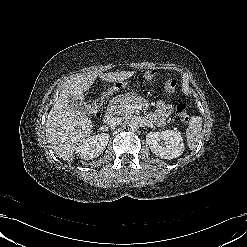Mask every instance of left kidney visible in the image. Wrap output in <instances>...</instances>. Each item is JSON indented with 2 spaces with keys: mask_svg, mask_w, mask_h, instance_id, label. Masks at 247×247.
<instances>
[{
  "mask_svg": "<svg viewBox=\"0 0 247 247\" xmlns=\"http://www.w3.org/2000/svg\"><path fill=\"white\" fill-rule=\"evenodd\" d=\"M146 143L156 156L164 159L177 158L184 151L181 133L176 130L168 129L162 132H149L146 135Z\"/></svg>",
  "mask_w": 247,
  "mask_h": 247,
  "instance_id": "left-kidney-1",
  "label": "left kidney"
}]
</instances>
